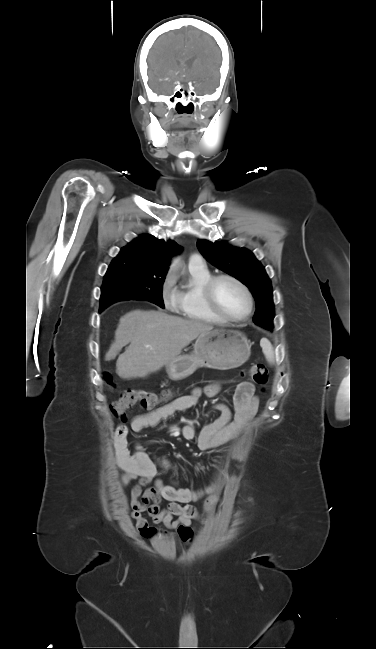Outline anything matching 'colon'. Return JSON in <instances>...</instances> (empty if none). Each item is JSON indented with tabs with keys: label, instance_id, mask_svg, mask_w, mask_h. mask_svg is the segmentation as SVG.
<instances>
[{
	"label": "colon",
	"instance_id": "obj_1",
	"mask_svg": "<svg viewBox=\"0 0 376 649\" xmlns=\"http://www.w3.org/2000/svg\"><path fill=\"white\" fill-rule=\"evenodd\" d=\"M248 372L253 381L260 385L264 391L269 379L267 367L262 363H256L251 365ZM104 379L109 385L113 384V379L110 374H105ZM170 397L171 392L169 391H165L159 395L138 389H124L121 391L119 398L112 403L111 410L115 416L123 417L126 411L136 404H140L144 408H153L162 400L169 399Z\"/></svg>",
	"mask_w": 376,
	"mask_h": 649
}]
</instances>
